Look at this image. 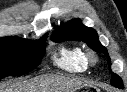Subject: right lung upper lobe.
Returning <instances> with one entry per match:
<instances>
[{"label":"right lung upper lobe","mask_w":127,"mask_h":92,"mask_svg":"<svg viewBox=\"0 0 127 92\" xmlns=\"http://www.w3.org/2000/svg\"><path fill=\"white\" fill-rule=\"evenodd\" d=\"M7 39H22V38H17V37H6Z\"/></svg>","instance_id":"cb5924a9"}]
</instances>
